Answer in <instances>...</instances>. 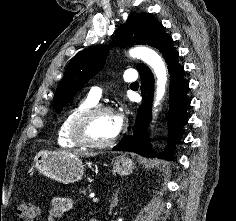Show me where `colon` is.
I'll list each match as a JSON object with an SVG mask.
<instances>
[{"label":"colon","instance_id":"obj_1","mask_svg":"<svg viewBox=\"0 0 236 221\" xmlns=\"http://www.w3.org/2000/svg\"><path fill=\"white\" fill-rule=\"evenodd\" d=\"M17 213L19 221H35L38 216L39 209L31 202H24L19 205Z\"/></svg>","mask_w":236,"mask_h":221}]
</instances>
